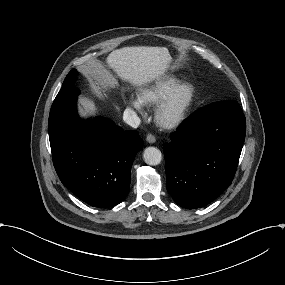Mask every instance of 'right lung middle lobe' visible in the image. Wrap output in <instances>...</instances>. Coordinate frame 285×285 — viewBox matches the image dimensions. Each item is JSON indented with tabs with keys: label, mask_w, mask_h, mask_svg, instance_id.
Masks as SVG:
<instances>
[{
	"label": "right lung middle lobe",
	"mask_w": 285,
	"mask_h": 285,
	"mask_svg": "<svg viewBox=\"0 0 285 285\" xmlns=\"http://www.w3.org/2000/svg\"><path fill=\"white\" fill-rule=\"evenodd\" d=\"M76 70L73 69L70 71V73L66 76L64 82H63V85H62V89L65 88V87H68V86H71L72 83L75 81L76 79Z\"/></svg>",
	"instance_id": "1"
}]
</instances>
